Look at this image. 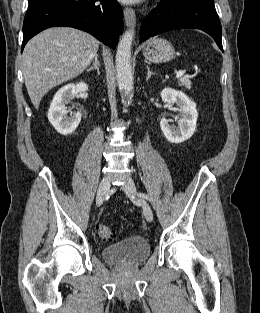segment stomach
Wrapping results in <instances>:
<instances>
[{"label": "stomach", "mask_w": 260, "mask_h": 313, "mask_svg": "<svg viewBox=\"0 0 260 313\" xmlns=\"http://www.w3.org/2000/svg\"><path fill=\"white\" fill-rule=\"evenodd\" d=\"M145 58L154 63H165L175 56L173 45L163 38L150 39L143 47Z\"/></svg>", "instance_id": "1"}]
</instances>
